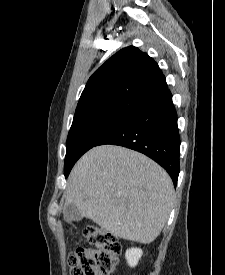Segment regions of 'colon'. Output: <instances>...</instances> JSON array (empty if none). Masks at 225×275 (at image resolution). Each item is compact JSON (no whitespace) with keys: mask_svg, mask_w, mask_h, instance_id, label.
<instances>
[{"mask_svg":"<svg viewBox=\"0 0 225 275\" xmlns=\"http://www.w3.org/2000/svg\"><path fill=\"white\" fill-rule=\"evenodd\" d=\"M83 233L89 245L69 255L71 275H111L121 253L116 236L97 225L85 226Z\"/></svg>","mask_w":225,"mask_h":275,"instance_id":"obj_1","label":"colon"}]
</instances>
